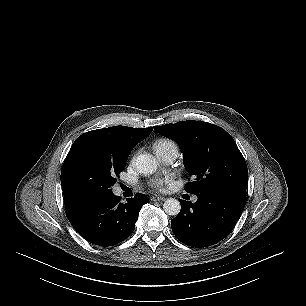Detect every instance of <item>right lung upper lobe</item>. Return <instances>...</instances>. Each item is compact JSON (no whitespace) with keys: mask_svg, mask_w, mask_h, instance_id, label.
<instances>
[{"mask_svg":"<svg viewBox=\"0 0 306 306\" xmlns=\"http://www.w3.org/2000/svg\"><path fill=\"white\" fill-rule=\"evenodd\" d=\"M153 128H132L125 126H114L86 132L79 136L72 147L79 143H86L92 147L113 149L119 151H130L138 142L144 140ZM85 202L74 201L64 194L66 211L78 207Z\"/></svg>","mask_w":306,"mask_h":306,"instance_id":"1","label":"right lung upper lobe"}]
</instances>
